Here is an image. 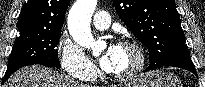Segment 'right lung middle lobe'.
Masks as SVG:
<instances>
[{
  "instance_id": "obj_1",
  "label": "right lung middle lobe",
  "mask_w": 205,
  "mask_h": 87,
  "mask_svg": "<svg viewBox=\"0 0 205 87\" xmlns=\"http://www.w3.org/2000/svg\"><path fill=\"white\" fill-rule=\"evenodd\" d=\"M60 35V30L21 31L15 40L8 64L31 62L48 67H60L55 49Z\"/></svg>"
}]
</instances>
